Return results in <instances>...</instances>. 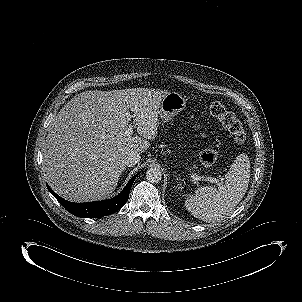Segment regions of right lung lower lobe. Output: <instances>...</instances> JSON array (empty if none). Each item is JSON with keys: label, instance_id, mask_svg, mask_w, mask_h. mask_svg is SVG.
Returning <instances> with one entry per match:
<instances>
[{"label": "right lung lower lobe", "instance_id": "1", "mask_svg": "<svg viewBox=\"0 0 302 302\" xmlns=\"http://www.w3.org/2000/svg\"><path fill=\"white\" fill-rule=\"evenodd\" d=\"M138 174L131 178L117 197L104 201L73 203L61 198L49 186L47 187L57 201L71 214L81 218H98L112 214L125 205L129 198L130 189Z\"/></svg>", "mask_w": 302, "mask_h": 302}]
</instances>
